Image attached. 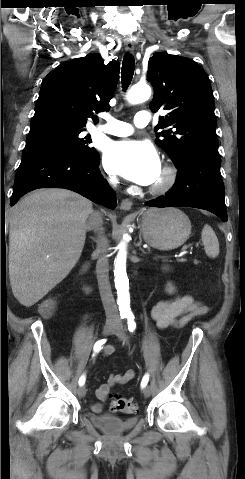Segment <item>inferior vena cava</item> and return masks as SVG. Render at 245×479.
Segmentation results:
<instances>
[{"label": "inferior vena cava", "instance_id": "1", "mask_svg": "<svg viewBox=\"0 0 245 479\" xmlns=\"http://www.w3.org/2000/svg\"><path fill=\"white\" fill-rule=\"evenodd\" d=\"M103 219L99 212H92L86 223L88 229H92L97 233V247L95 253L98 256L96 264V273L101 300L106 313L107 319H117L118 309L112 295L109 282V262H108V240L104 235Z\"/></svg>", "mask_w": 245, "mask_h": 479}]
</instances>
